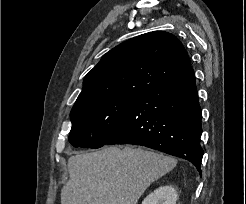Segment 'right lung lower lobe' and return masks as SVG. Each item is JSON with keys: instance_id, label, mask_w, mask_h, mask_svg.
<instances>
[{"instance_id": "1", "label": "right lung lower lobe", "mask_w": 246, "mask_h": 204, "mask_svg": "<svg viewBox=\"0 0 246 204\" xmlns=\"http://www.w3.org/2000/svg\"><path fill=\"white\" fill-rule=\"evenodd\" d=\"M201 108L193 69L139 95L106 145L134 144L190 161L201 174Z\"/></svg>"}]
</instances>
